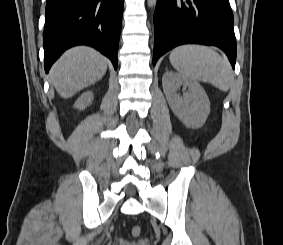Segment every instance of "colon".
I'll use <instances>...</instances> for the list:
<instances>
[{
	"instance_id": "colon-1",
	"label": "colon",
	"mask_w": 283,
	"mask_h": 245,
	"mask_svg": "<svg viewBox=\"0 0 283 245\" xmlns=\"http://www.w3.org/2000/svg\"><path fill=\"white\" fill-rule=\"evenodd\" d=\"M141 232H142V229L139 225L134 226L131 230V234L134 237H138L141 234Z\"/></svg>"
}]
</instances>
